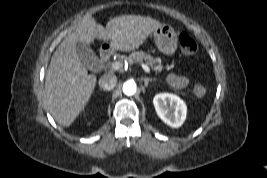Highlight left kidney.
<instances>
[{
    "instance_id": "left-kidney-1",
    "label": "left kidney",
    "mask_w": 267,
    "mask_h": 178,
    "mask_svg": "<svg viewBox=\"0 0 267 178\" xmlns=\"http://www.w3.org/2000/svg\"><path fill=\"white\" fill-rule=\"evenodd\" d=\"M153 104L157 115L170 127L177 128L184 122L186 106L178 96L160 93L155 95Z\"/></svg>"
}]
</instances>
